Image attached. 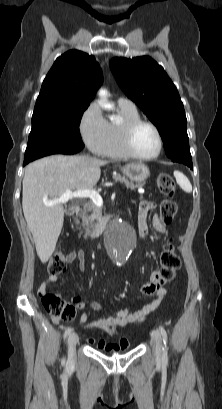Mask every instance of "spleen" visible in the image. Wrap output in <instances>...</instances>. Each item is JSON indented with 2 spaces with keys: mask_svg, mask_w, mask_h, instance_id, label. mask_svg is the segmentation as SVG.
Returning a JSON list of instances; mask_svg holds the SVG:
<instances>
[{
  "mask_svg": "<svg viewBox=\"0 0 222 409\" xmlns=\"http://www.w3.org/2000/svg\"><path fill=\"white\" fill-rule=\"evenodd\" d=\"M174 176L176 178L177 183L179 186L187 193H190L192 191V185L188 178L181 173L180 171H174Z\"/></svg>",
  "mask_w": 222,
  "mask_h": 409,
  "instance_id": "spleen-1",
  "label": "spleen"
}]
</instances>
